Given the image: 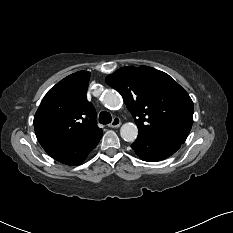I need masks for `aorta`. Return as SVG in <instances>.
<instances>
[{
	"label": "aorta",
	"instance_id": "762f6f07",
	"mask_svg": "<svg viewBox=\"0 0 233 233\" xmlns=\"http://www.w3.org/2000/svg\"><path fill=\"white\" fill-rule=\"evenodd\" d=\"M102 102L109 109H117L122 100L115 90H106L102 94ZM120 135L123 140L133 142L137 138L138 128L134 123H125L121 126Z\"/></svg>",
	"mask_w": 233,
	"mask_h": 233
}]
</instances>
